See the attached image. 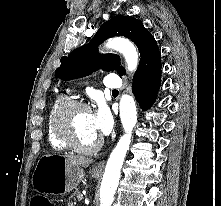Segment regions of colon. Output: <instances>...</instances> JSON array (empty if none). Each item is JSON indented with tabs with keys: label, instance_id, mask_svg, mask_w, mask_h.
<instances>
[{
	"label": "colon",
	"instance_id": "1",
	"mask_svg": "<svg viewBox=\"0 0 221 206\" xmlns=\"http://www.w3.org/2000/svg\"><path fill=\"white\" fill-rule=\"evenodd\" d=\"M30 206H53L52 203L42 196H35L30 202Z\"/></svg>",
	"mask_w": 221,
	"mask_h": 206
}]
</instances>
